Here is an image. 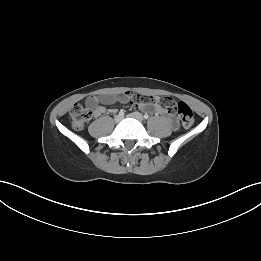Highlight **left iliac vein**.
Listing matches in <instances>:
<instances>
[{
	"label": "left iliac vein",
	"mask_w": 261,
	"mask_h": 261,
	"mask_svg": "<svg viewBox=\"0 0 261 261\" xmlns=\"http://www.w3.org/2000/svg\"><path fill=\"white\" fill-rule=\"evenodd\" d=\"M128 117L134 118V119H136V120H138V121H140V122L143 121V116H142L139 112L130 113V114L128 115Z\"/></svg>",
	"instance_id": "4c4485c4"
}]
</instances>
